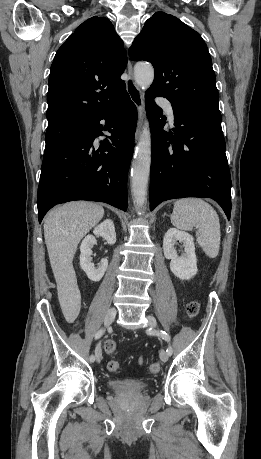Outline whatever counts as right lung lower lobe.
<instances>
[{
    "mask_svg": "<svg viewBox=\"0 0 261 459\" xmlns=\"http://www.w3.org/2000/svg\"><path fill=\"white\" fill-rule=\"evenodd\" d=\"M105 119L112 134L96 150ZM137 109L126 92L58 148L44 153L38 187V218L59 203L90 200L127 210V175L133 153Z\"/></svg>",
    "mask_w": 261,
    "mask_h": 459,
    "instance_id": "1",
    "label": "right lung lower lobe"
}]
</instances>
